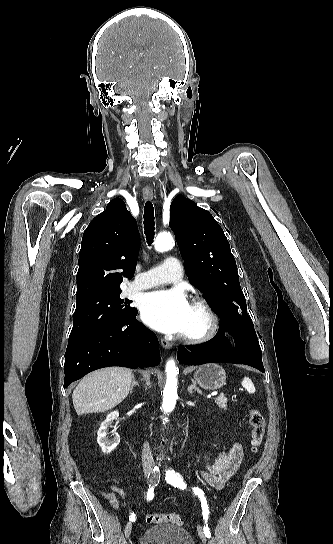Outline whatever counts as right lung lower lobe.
<instances>
[{"label":"right lung lower lobe","instance_id":"obj_1","mask_svg":"<svg viewBox=\"0 0 333 544\" xmlns=\"http://www.w3.org/2000/svg\"><path fill=\"white\" fill-rule=\"evenodd\" d=\"M137 310L118 323L68 342L64 388L99 368L150 367L160 363L158 342L135 317Z\"/></svg>","mask_w":333,"mask_h":544}]
</instances>
